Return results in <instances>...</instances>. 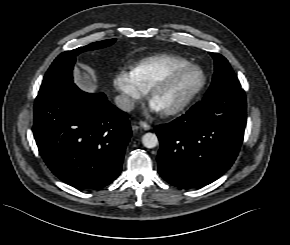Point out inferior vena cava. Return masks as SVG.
<instances>
[{"mask_svg":"<svg viewBox=\"0 0 290 245\" xmlns=\"http://www.w3.org/2000/svg\"><path fill=\"white\" fill-rule=\"evenodd\" d=\"M114 101L116 106L122 111L130 112L134 109V101L127 95H117Z\"/></svg>","mask_w":290,"mask_h":245,"instance_id":"602c4592","label":"inferior vena cava"}]
</instances>
